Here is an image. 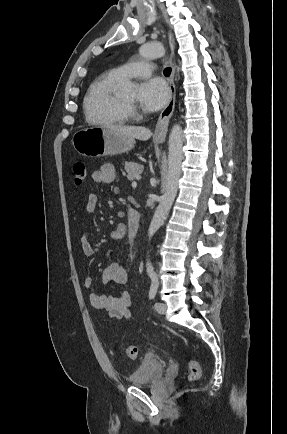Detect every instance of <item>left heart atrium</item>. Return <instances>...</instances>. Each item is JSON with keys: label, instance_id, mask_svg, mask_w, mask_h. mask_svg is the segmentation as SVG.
Returning <instances> with one entry per match:
<instances>
[{"label": "left heart atrium", "instance_id": "left-heart-atrium-1", "mask_svg": "<svg viewBox=\"0 0 287 434\" xmlns=\"http://www.w3.org/2000/svg\"><path fill=\"white\" fill-rule=\"evenodd\" d=\"M170 97L167 84L160 78L142 83L139 87L138 101L146 111H157L165 106Z\"/></svg>", "mask_w": 287, "mask_h": 434}]
</instances>
